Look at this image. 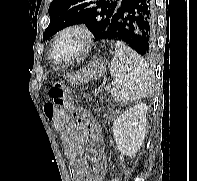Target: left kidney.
Instances as JSON below:
<instances>
[{
  "instance_id": "1",
  "label": "left kidney",
  "mask_w": 197,
  "mask_h": 181,
  "mask_svg": "<svg viewBox=\"0 0 197 181\" xmlns=\"http://www.w3.org/2000/svg\"><path fill=\"white\" fill-rule=\"evenodd\" d=\"M146 113V104L139 103L114 120L113 135L121 154L134 156L142 146L146 133Z\"/></svg>"
}]
</instances>
